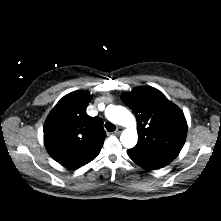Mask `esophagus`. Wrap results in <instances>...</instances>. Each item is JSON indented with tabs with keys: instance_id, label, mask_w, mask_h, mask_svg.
<instances>
[{
	"instance_id": "1",
	"label": "esophagus",
	"mask_w": 221,
	"mask_h": 221,
	"mask_svg": "<svg viewBox=\"0 0 221 221\" xmlns=\"http://www.w3.org/2000/svg\"><path fill=\"white\" fill-rule=\"evenodd\" d=\"M123 131V127L118 126L115 130V134H120Z\"/></svg>"
}]
</instances>
